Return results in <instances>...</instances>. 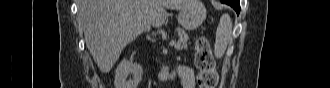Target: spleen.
Masks as SVG:
<instances>
[{
	"label": "spleen",
	"instance_id": "spleen-1",
	"mask_svg": "<svg viewBox=\"0 0 330 88\" xmlns=\"http://www.w3.org/2000/svg\"><path fill=\"white\" fill-rule=\"evenodd\" d=\"M232 38V21L228 14H223L220 18L214 45V55L216 58L223 57L229 41Z\"/></svg>",
	"mask_w": 330,
	"mask_h": 88
}]
</instances>
